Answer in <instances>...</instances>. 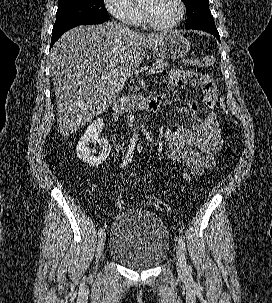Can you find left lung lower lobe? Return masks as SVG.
Returning <instances> with one entry per match:
<instances>
[{
	"label": "left lung lower lobe",
	"mask_w": 272,
	"mask_h": 303,
	"mask_svg": "<svg viewBox=\"0 0 272 303\" xmlns=\"http://www.w3.org/2000/svg\"><path fill=\"white\" fill-rule=\"evenodd\" d=\"M193 29L208 32V33L214 35L220 41L219 33H218L215 25L214 26H204V27L193 28Z\"/></svg>",
	"instance_id": "left-lung-lower-lobe-1"
}]
</instances>
